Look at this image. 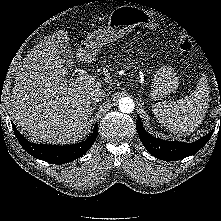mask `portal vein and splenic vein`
I'll return each mask as SVG.
<instances>
[{"mask_svg": "<svg viewBox=\"0 0 221 221\" xmlns=\"http://www.w3.org/2000/svg\"><path fill=\"white\" fill-rule=\"evenodd\" d=\"M96 80V76L89 75L84 71L79 73V76L73 81L74 83H94Z\"/></svg>", "mask_w": 221, "mask_h": 221, "instance_id": "1", "label": "portal vein and splenic vein"}]
</instances>
